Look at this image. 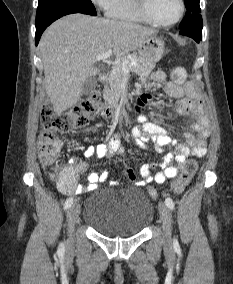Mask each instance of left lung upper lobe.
I'll return each instance as SVG.
<instances>
[{
    "label": "left lung upper lobe",
    "instance_id": "1",
    "mask_svg": "<svg viewBox=\"0 0 233 284\" xmlns=\"http://www.w3.org/2000/svg\"><path fill=\"white\" fill-rule=\"evenodd\" d=\"M187 9L186 15L180 23L181 29H202V17L199 0H184Z\"/></svg>",
    "mask_w": 233,
    "mask_h": 284
}]
</instances>
